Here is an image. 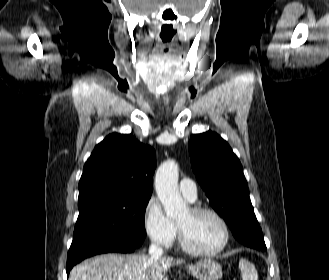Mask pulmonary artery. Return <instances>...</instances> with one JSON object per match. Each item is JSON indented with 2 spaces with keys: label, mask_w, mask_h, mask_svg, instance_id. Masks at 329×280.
Returning <instances> with one entry per match:
<instances>
[{
  "label": "pulmonary artery",
  "mask_w": 329,
  "mask_h": 280,
  "mask_svg": "<svg viewBox=\"0 0 329 280\" xmlns=\"http://www.w3.org/2000/svg\"><path fill=\"white\" fill-rule=\"evenodd\" d=\"M179 190L189 201L193 202L196 199L197 186L191 179H182L179 183Z\"/></svg>",
  "instance_id": "pulmonary-artery-1"
}]
</instances>
